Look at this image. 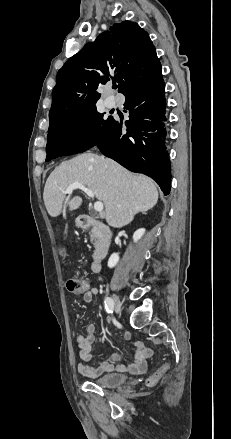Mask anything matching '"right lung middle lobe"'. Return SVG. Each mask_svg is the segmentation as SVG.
I'll list each match as a JSON object with an SVG mask.
<instances>
[{"label":"right lung middle lobe","instance_id":"right-lung-middle-lobe-1","mask_svg":"<svg viewBox=\"0 0 231 439\" xmlns=\"http://www.w3.org/2000/svg\"><path fill=\"white\" fill-rule=\"evenodd\" d=\"M111 124L112 118L103 119V114L96 107L51 123L47 135L46 161L86 151L101 139ZM80 138L81 146L73 147Z\"/></svg>","mask_w":231,"mask_h":439}]
</instances>
